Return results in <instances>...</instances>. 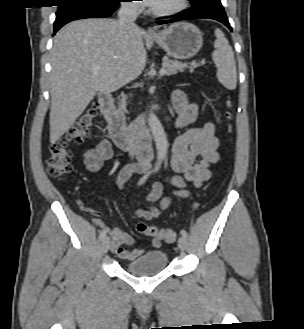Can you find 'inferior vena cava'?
I'll return each instance as SVG.
<instances>
[{"instance_id":"inferior-vena-cava-1","label":"inferior vena cava","mask_w":304,"mask_h":329,"mask_svg":"<svg viewBox=\"0 0 304 329\" xmlns=\"http://www.w3.org/2000/svg\"><path fill=\"white\" fill-rule=\"evenodd\" d=\"M138 12L135 4L130 2H123L118 12V24L123 32L130 31L136 27L135 21L137 19ZM138 148L137 138L132 137L130 156L133 157L136 154Z\"/></svg>"}]
</instances>
